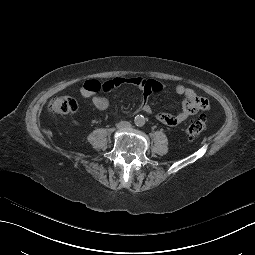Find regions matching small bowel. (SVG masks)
Wrapping results in <instances>:
<instances>
[{
  "mask_svg": "<svg viewBox=\"0 0 255 255\" xmlns=\"http://www.w3.org/2000/svg\"><path fill=\"white\" fill-rule=\"evenodd\" d=\"M122 86H132L143 92L141 104L135 112L143 111L147 114H153V109L148 103L149 96L153 92H160L166 89V84L158 79H145L143 77H115L106 82L98 80H87L80 88V94L85 98H91L94 106L100 111H107L110 102L107 98L100 95L101 91H111ZM177 95L183 97L182 110L177 114L157 113L155 118L167 125L176 126L198 111H206L210 104L204 97L199 96L195 90L182 84L175 87Z\"/></svg>",
  "mask_w": 255,
  "mask_h": 255,
  "instance_id": "obj_1",
  "label": "small bowel"
}]
</instances>
